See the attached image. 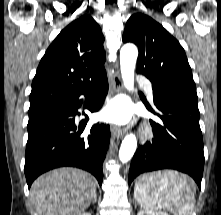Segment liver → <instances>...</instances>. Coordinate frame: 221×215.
I'll return each instance as SVG.
<instances>
[{"label":"liver","instance_id":"6515ba94","mask_svg":"<svg viewBox=\"0 0 221 215\" xmlns=\"http://www.w3.org/2000/svg\"><path fill=\"white\" fill-rule=\"evenodd\" d=\"M96 182L83 170L63 167L35 180L30 189L38 215H80L94 199Z\"/></svg>","mask_w":221,"mask_h":215}]
</instances>
